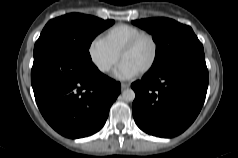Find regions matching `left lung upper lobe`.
Returning <instances> with one entry per match:
<instances>
[{
	"instance_id": "left-lung-upper-lobe-1",
	"label": "left lung upper lobe",
	"mask_w": 238,
	"mask_h": 158,
	"mask_svg": "<svg viewBox=\"0 0 238 158\" xmlns=\"http://www.w3.org/2000/svg\"><path fill=\"white\" fill-rule=\"evenodd\" d=\"M132 23L152 34L156 43V56L149 71L158 69L182 53L203 49L191 27L172 19L148 18L135 20Z\"/></svg>"
}]
</instances>
